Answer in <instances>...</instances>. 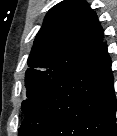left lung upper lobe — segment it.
Returning a JSON list of instances; mask_svg holds the SVG:
<instances>
[{
	"label": "left lung upper lobe",
	"mask_w": 117,
	"mask_h": 136,
	"mask_svg": "<svg viewBox=\"0 0 117 136\" xmlns=\"http://www.w3.org/2000/svg\"><path fill=\"white\" fill-rule=\"evenodd\" d=\"M103 43L96 13L84 0H64L47 13L28 58L26 115L44 92L92 55Z\"/></svg>",
	"instance_id": "left-lung-upper-lobe-1"
}]
</instances>
